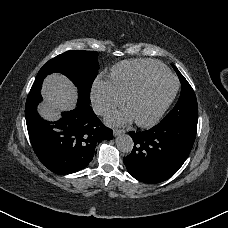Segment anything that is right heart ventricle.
<instances>
[{"instance_id":"obj_1","label":"right heart ventricle","mask_w":228,"mask_h":228,"mask_svg":"<svg viewBox=\"0 0 228 228\" xmlns=\"http://www.w3.org/2000/svg\"><path fill=\"white\" fill-rule=\"evenodd\" d=\"M167 73V68L157 62L126 61L113 68L110 81L122 98H126L145 79Z\"/></svg>"}]
</instances>
